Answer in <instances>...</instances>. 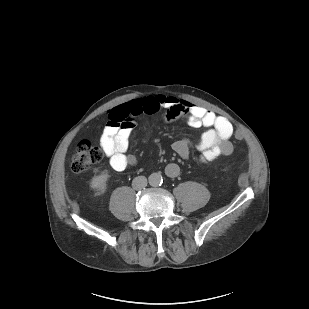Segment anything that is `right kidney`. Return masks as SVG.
Returning <instances> with one entry per match:
<instances>
[{
    "mask_svg": "<svg viewBox=\"0 0 309 309\" xmlns=\"http://www.w3.org/2000/svg\"><path fill=\"white\" fill-rule=\"evenodd\" d=\"M109 175L106 172L101 173L91 179L90 186L91 188L103 193L106 190V183Z\"/></svg>",
    "mask_w": 309,
    "mask_h": 309,
    "instance_id": "obj_1",
    "label": "right kidney"
}]
</instances>
